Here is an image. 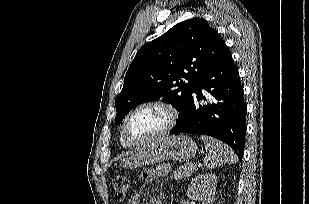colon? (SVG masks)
Instances as JSON below:
<instances>
[{"mask_svg": "<svg viewBox=\"0 0 309 204\" xmlns=\"http://www.w3.org/2000/svg\"><path fill=\"white\" fill-rule=\"evenodd\" d=\"M130 179L126 175H117L112 180V188L117 199H123L129 189Z\"/></svg>", "mask_w": 309, "mask_h": 204, "instance_id": "obj_1", "label": "colon"}]
</instances>
